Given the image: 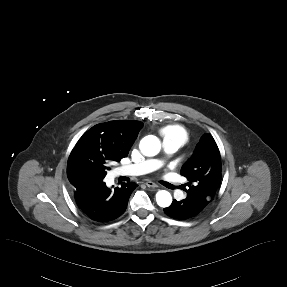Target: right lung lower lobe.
<instances>
[{
  "mask_svg": "<svg viewBox=\"0 0 287 287\" xmlns=\"http://www.w3.org/2000/svg\"><path fill=\"white\" fill-rule=\"evenodd\" d=\"M103 179L101 175L89 173L70 182L78 208L87 217L98 222H108L121 216L126 210L131 193L137 187V184L131 182L110 189Z\"/></svg>",
  "mask_w": 287,
  "mask_h": 287,
  "instance_id": "right-lung-lower-lobe-1",
  "label": "right lung lower lobe"
}]
</instances>
